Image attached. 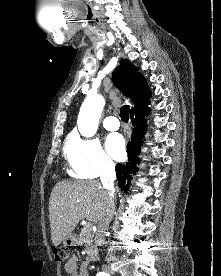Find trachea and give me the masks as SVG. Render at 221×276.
<instances>
[{
  "instance_id": "obj_1",
  "label": "trachea",
  "mask_w": 221,
  "mask_h": 276,
  "mask_svg": "<svg viewBox=\"0 0 221 276\" xmlns=\"http://www.w3.org/2000/svg\"><path fill=\"white\" fill-rule=\"evenodd\" d=\"M129 106L128 105H123L121 108H120V117H121V120L124 121V122H128V119H129Z\"/></svg>"
}]
</instances>
